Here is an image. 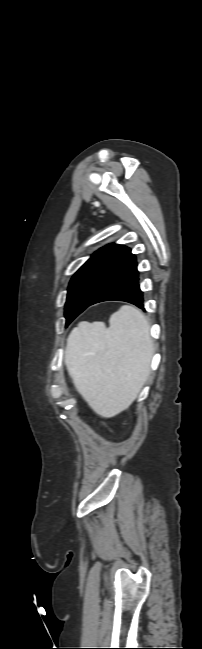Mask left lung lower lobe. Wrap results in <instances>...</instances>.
Returning a JSON list of instances; mask_svg holds the SVG:
<instances>
[{
    "label": "left lung lower lobe",
    "instance_id": "0a47b994",
    "mask_svg": "<svg viewBox=\"0 0 202 649\" xmlns=\"http://www.w3.org/2000/svg\"><path fill=\"white\" fill-rule=\"evenodd\" d=\"M126 301L144 310L135 255L131 252L87 307L103 301Z\"/></svg>",
    "mask_w": 202,
    "mask_h": 649
}]
</instances>
